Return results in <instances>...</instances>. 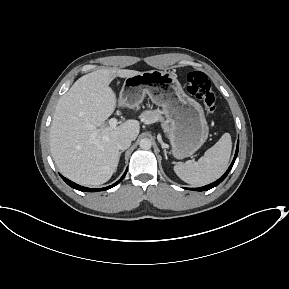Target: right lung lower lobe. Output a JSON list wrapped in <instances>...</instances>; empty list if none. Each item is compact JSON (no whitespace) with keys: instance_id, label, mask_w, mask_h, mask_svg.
I'll return each instance as SVG.
<instances>
[{"instance_id":"right-lung-lower-lobe-1","label":"right lung lower lobe","mask_w":289,"mask_h":289,"mask_svg":"<svg viewBox=\"0 0 289 289\" xmlns=\"http://www.w3.org/2000/svg\"><path fill=\"white\" fill-rule=\"evenodd\" d=\"M126 172L127 170L125 171L124 175L116 182L114 183L113 185H110L108 187H104V188H99V189H92V188H87V187H83V186H80L74 182H71L70 180L66 179L65 177L61 176L62 179L69 185L71 186L72 188L76 189V190H80V191H83V192H96V191H104V190H107V189H110L114 186H116L117 184H119L121 182V180L125 177L126 175Z\"/></svg>"}]
</instances>
